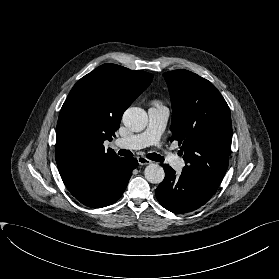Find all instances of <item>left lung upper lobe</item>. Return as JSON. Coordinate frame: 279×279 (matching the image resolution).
Listing matches in <instances>:
<instances>
[{"instance_id":"left-lung-upper-lobe-1","label":"left lung upper lobe","mask_w":279,"mask_h":279,"mask_svg":"<svg viewBox=\"0 0 279 279\" xmlns=\"http://www.w3.org/2000/svg\"><path fill=\"white\" fill-rule=\"evenodd\" d=\"M172 103L171 141H179L182 172L219 187L229 163L230 109L215 86L188 70L163 74Z\"/></svg>"}]
</instances>
